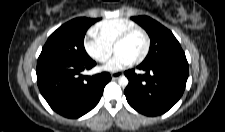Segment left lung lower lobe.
<instances>
[{"label":"left lung lower lobe","instance_id":"1","mask_svg":"<svg viewBox=\"0 0 225 132\" xmlns=\"http://www.w3.org/2000/svg\"><path fill=\"white\" fill-rule=\"evenodd\" d=\"M145 72L137 75L127 70L129 79L124 94L131 107L147 116L168 111L182 96L188 78L186 58L169 59L150 64H140Z\"/></svg>","mask_w":225,"mask_h":132}]
</instances>
